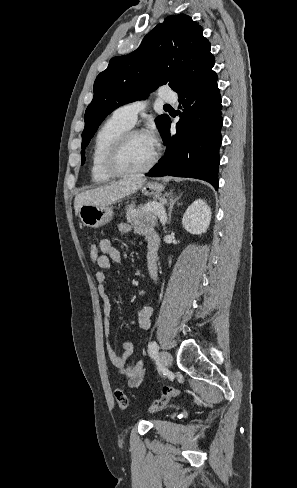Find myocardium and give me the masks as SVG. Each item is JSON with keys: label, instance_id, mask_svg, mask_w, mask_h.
<instances>
[{"label": "myocardium", "instance_id": "1", "mask_svg": "<svg viewBox=\"0 0 297 488\" xmlns=\"http://www.w3.org/2000/svg\"><path fill=\"white\" fill-rule=\"evenodd\" d=\"M145 133L139 129H129L122 133L111 145L107 157H106V168L108 172L114 177H130L146 173L153 168L159 159V151L155 149L154 155L151 160L142 168L135 170H125L120 166V158L122 152L129 142V140L136 135H144Z\"/></svg>", "mask_w": 297, "mask_h": 488}]
</instances>
